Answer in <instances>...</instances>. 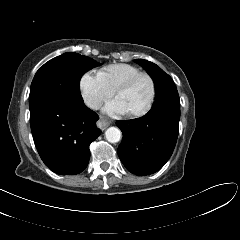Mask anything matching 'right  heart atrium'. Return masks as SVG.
<instances>
[{
  "instance_id": "d8ad5b80",
  "label": "right heart atrium",
  "mask_w": 240,
  "mask_h": 240,
  "mask_svg": "<svg viewBox=\"0 0 240 240\" xmlns=\"http://www.w3.org/2000/svg\"><path fill=\"white\" fill-rule=\"evenodd\" d=\"M79 85L82 98L91 109H98L114 94V91L103 82L99 75L92 73H85Z\"/></svg>"
}]
</instances>
